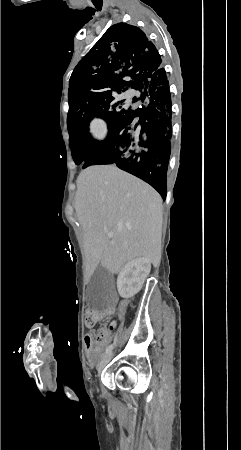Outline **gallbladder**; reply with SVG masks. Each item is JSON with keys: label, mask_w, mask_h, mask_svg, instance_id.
Returning a JSON list of instances; mask_svg holds the SVG:
<instances>
[{"label": "gallbladder", "mask_w": 241, "mask_h": 450, "mask_svg": "<svg viewBox=\"0 0 241 450\" xmlns=\"http://www.w3.org/2000/svg\"><path fill=\"white\" fill-rule=\"evenodd\" d=\"M87 310L96 315H109L116 304V282L111 270L96 268L87 288Z\"/></svg>", "instance_id": "gallbladder-1"}]
</instances>
